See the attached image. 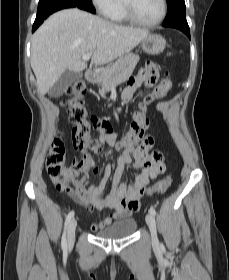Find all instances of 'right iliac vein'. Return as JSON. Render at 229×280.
<instances>
[{
  "label": "right iliac vein",
  "instance_id": "obj_1",
  "mask_svg": "<svg viewBox=\"0 0 229 280\" xmlns=\"http://www.w3.org/2000/svg\"><path fill=\"white\" fill-rule=\"evenodd\" d=\"M76 227H77V220L72 219L69 223L68 230H67V240L69 245H72L75 241Z\"/></svg>",
  "mask_w": 229,
  "mask_h": 280
}]
</instances>
